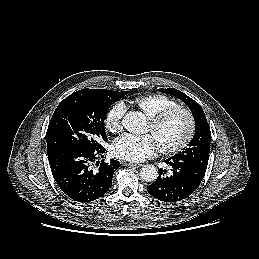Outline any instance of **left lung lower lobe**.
Here are the masks:
<instances>
[{
    "mask_svg": "<svg viewBox=\"0 0 259 259\" xmlns=\"http://www.w3.org/2000/svg\"><path fill=\"white\" fill-rule=\"evenodd\" d=\"M165 162L172 167V174L164 176L167 170L158 169L159 176L147 187L148 193L164 202H178L190 196L201 183L206 168L176 157Z\"/></svg>",
    "mask_w": 259,
    "mask_h": 259,
    "instance_id": "obj_1",
    "label": "left lung lower lobe"
}]
</instances>
